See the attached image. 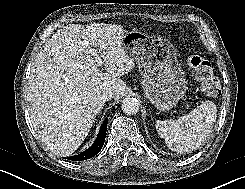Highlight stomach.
Segmentation results:
<instances>
[{
	"instance_id": "obj_1",
	"label": "stomach",
	"mask_w": 245,
	"mask_h": 189,
	"mask_svg": "<svg viewBox=\"0 0 245 189\" xmlns=\"http://www.w3.org/2000/svg\"><path fill=\"white\" fill-rule=\"evenodd\" d=\"M122 46L139 68L145 97L158 110H171L188 88L174 46L140 31L126 33Z\"/></svg>"
}]
</instances>
